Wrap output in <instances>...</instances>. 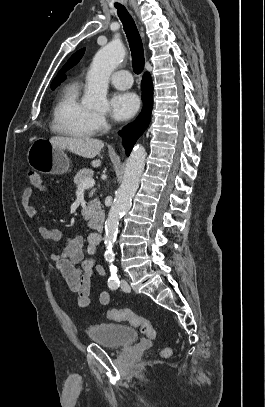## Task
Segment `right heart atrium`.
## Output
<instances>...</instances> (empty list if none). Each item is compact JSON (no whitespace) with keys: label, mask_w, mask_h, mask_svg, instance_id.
<instances>
[{"label":"right heart atrium","mask_w":265,"mask_h":407,"mask_svg":"<svg viewBox=\"0 0 265 407\" xmlns=\"http://www.w3.org/2000/svg\"><path fill=\"white\" fill-rule=\"evenodd\" d=\"M93 123L96 131H104L109 127V121L105 114L94 113Z\"/></svg>","instance_id":"d8ad5b80"}]
</instances>
